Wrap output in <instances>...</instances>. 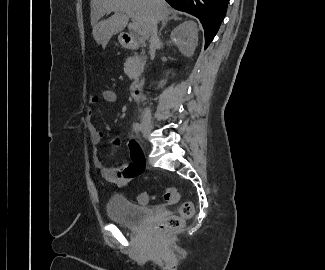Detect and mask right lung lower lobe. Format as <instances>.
Returning <instances> with one entry per match:
<instances>
[{"instance_id": "obj_1", "label": "right lung lower lobe", "mask_w": 325, "mask_h": 270, "mask_svg": "<svg viewBox=\"0 0 325 270\" xmlns=\"http://www.w3.org/2000/svg\"><path fill=\"white\" fill-rule=\"evenodd\" d=\"M177 10L196 16L205 31V48L213 40L223 21L229 0H166Z\"/></svg>"}]
</instances>
